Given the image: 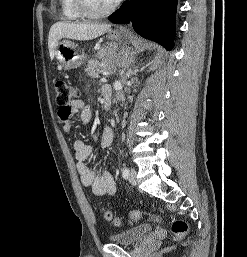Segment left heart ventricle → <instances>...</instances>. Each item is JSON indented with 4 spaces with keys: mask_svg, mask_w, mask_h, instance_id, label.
Here are the masks:
<instances>
[{
    "mask_svg": "<svg viewBox=\"0 0 247 257\" xmlns=\"http://www.w3.org/2000/svg\"><path fill=\"white\" fill-rule=\"evenodd\" d=\"M115 0H89L90 5L95 10H102L108 7Z\"/></svg>",
    "mask_w": 247,
    "mask_h": 257,
    "instance_id": "left-heart-ventricle-1",
    "label": "left heart ventricle"
}]
</instances>
